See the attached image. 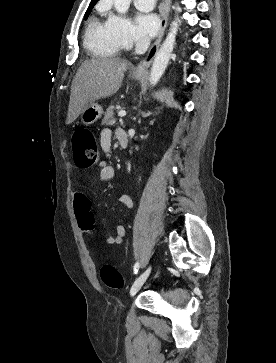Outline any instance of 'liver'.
Masks as SVG:
<instances>
[{"instance_id": "liver-1", "label": "liver", "mask_w": 276, "mask_h": 363, "mask_svg": "<svg viewBox=\"0 0 276 363\" xmlns=\"http://www.w3.org/2000/svg\"><path fill=\"white\" fill-rule=\"evenodd\" d=\"M129 63L119 58L84 61L71 85L66 124H71L90 104L114 95L122 85Z\"/></svg>"}]
</instances>
